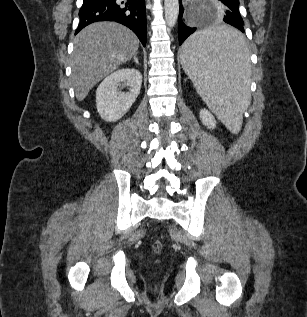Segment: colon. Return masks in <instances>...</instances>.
I'll return each instance as SVG.
<instances>
[{"mask_svg": "<svg viewBox=\"0 0 307 317\" xmlns=\"http://www.w3.org/2000/svg\"><path fill=\"white\" fill-rule=\"evenodd\" d=\"M161 249H162V244L160 242L157 241L153 244V251L154 252L158 253L161 251Z\"/></svg>", "mask_w": 307, "mask_h": 317, "instance_id": "1", "label": "colon"}]
</instances>
